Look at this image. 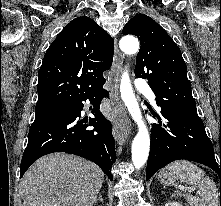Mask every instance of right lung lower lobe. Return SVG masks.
Instances as JSON below:
<instances>
[{"mask_svg": "<svg viewBox=\"0 0 221 206\" xmlns=\"http://www.w3.org/2000/svg\"><path fill=\"white\" fill-rule=\"evenodd\" d=\"M108 92L100 86L95 91L70 104L67 108L35 117L21 161L20 177L41 156L53 152L75 154L96 163L112 179L110 169L116 160L112 125L99 111L100 102ZM94 103V118L80 120L82 101ZM88 126L94 129L87 130Z\"/></svg>", "mask_w": 221, "mask_h": 206, "instance_id": "right-lung-lower-lobe-1", "label": "right lung lower lobe"}]
</instances>
